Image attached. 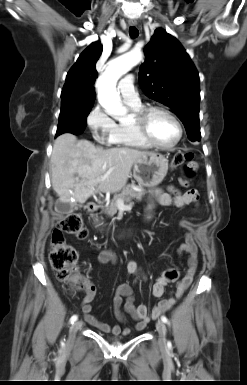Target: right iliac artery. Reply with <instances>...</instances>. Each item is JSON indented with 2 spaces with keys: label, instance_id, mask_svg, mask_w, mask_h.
I'll use <instances>...</instances> for the list:
<instances>
[{
  "label": "right iliac artery",
  "instance_id": "82829eb1",
  "mask_svg": "<svg viewBox=\"0 0 247 385\" xmlns=\"http://www.w3.org/2000/svg\"><path fill=\"white\" fill-rule=\"evenodd\" d=\"M77 315H73L71 318H70V323L73 324L76 320H77Z\"/></svg>",
  "mask_w": 247,
  "mask_h": 385
}]
</instances>
